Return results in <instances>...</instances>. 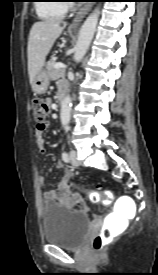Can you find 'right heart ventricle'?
<instances>
[{
    "label": "right heart ventricle",
    "instance_id": "e07e8e85",
    "mask_svg": "<svg viewBox=\"0 0 158 275\" xmlns=\"http://www.w3.org/2000/svg\"><path fill=\"white\" fill-rule=\"evenodd\" d=\"M62 0H42L36 5L38 15L46 20L62 19L67 11Z\"/></svg>",
    "mask_w": 158,
    "mask_h": 275
}]
</instances>
